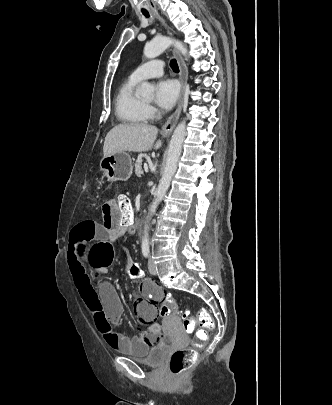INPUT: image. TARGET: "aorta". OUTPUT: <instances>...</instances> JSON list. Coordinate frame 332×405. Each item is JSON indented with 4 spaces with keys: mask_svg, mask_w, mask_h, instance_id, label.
Wrapping results in <instances>:
<instances>
[{
    "mask_svg": "<svg viewBox=\"0 0 332 405\" xmlns=\"http://www.w3.org/2000/svg\"><path fill=\"white\" fill-rule=\"evenodd\" d=\"M170 45H174L177 49L181 51L184 56H187L186 47L177 40H172L165 36H155L149 43L144 47V55L148 59H153L163 53ZM153 87L150 83L144 82L141 85L142 95H148L152 93ZM186 136V120L183 119L175 128L172 135L169 150L167 154L166 164L164 167V172L162 178L159 182L157 190L155 192V199L149 209V216H153L159 203L163 200L166 192L168 191L172 178L177 171V166L179 158L182 152L183 141ZM149 226L146 225L144 228V233L142 237V245L149 244Z\"/></svg>",
    "mask_w": 332,
    "mask_h": 405,
    "instance_id": "762f6f07",
    "label": "aorta"
}]
</instances>
